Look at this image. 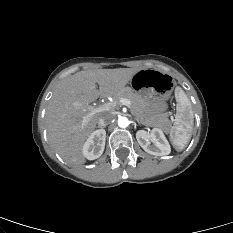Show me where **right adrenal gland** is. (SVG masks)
Instances as JSON below:
<instances>
[{"instance_id":"right-adrenal-gland-1","label":"right adrenal gland","mask_w":233,"mask_h":233,"mask_svg":"<svg viewBox=\"0 0 233 233\" xmlns=\"http://www.w3.org/2000/svg\"><path fill=\"white\" fill-rule=\"evenodd\" d=\"M98 128L104 129V126H98Z\"/></svg>"}]
</instances>
